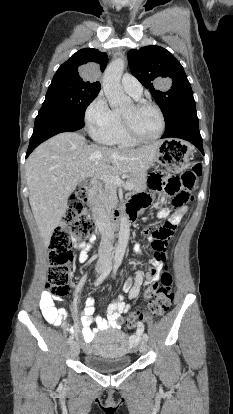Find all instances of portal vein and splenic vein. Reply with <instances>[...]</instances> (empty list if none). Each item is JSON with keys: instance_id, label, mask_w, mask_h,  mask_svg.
<instances>
[{"instance_id": "18ae733b", "label": "portal vein and splenic vein", "mask_w": 233, "mask_h": 414, "mask_svg": "<svg viewBox=\"0 0 233 414\" xmlns=\"http://www.w3.org/2000/svg\"><path fill=\"white\" fill-rule=\"evenodd\" d=\"M99 178L101 180H103L106 184H112V185H115V186H122L126 190H131L133 188V184H131L129 182H124L118 176H114V175H101Z\"/></svg>"}]
</instances>
